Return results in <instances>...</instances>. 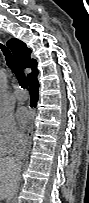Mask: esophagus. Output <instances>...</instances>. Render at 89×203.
Wrapping results in <instances>:
<instances>
[{
    "instance_id": "esophagus-1",
    "label": "esophagus",
    "mask_w": 89,
    "mask_h": 203,
    "mask_svg": "<svg viewBox=\"0 0 89 203\" xmlns=\"http://www.w3.org/2000/svg\"><path fill=\"white\" fill-rule=\"evenodd\" d=\"M33 130V127L31 126V128L29 129V133H31ZM30 144V143H29Z\"/></svg>"
}]
</instances>
